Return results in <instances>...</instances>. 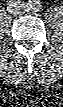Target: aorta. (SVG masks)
Returning a JSON list of instances; mask_svg holds the SVG:
<instances>
[{
    "label": "aorta",
    "instance_id": "aorta-1",
    "mask_svg": "<svg viewBox=\"0 0 63 107\" xmlns=\"http://www.w3.org/2000/svg\"><path fill=\"white\" fill-rule=\"evenodd\" d=\"M27 7L29 10L36 11L40 7V2L38 0H29L27 3Z\"/></svg>",
    "mask_w": 63,
    "mask_h": 107
}]
</instances>
